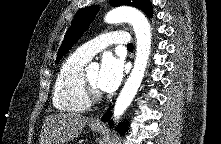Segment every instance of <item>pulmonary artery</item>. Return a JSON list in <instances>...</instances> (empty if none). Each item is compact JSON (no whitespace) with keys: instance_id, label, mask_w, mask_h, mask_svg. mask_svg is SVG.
Listing matches in <instances>:
<instances>
[{"instance_id":"1","label":"pulmonary artery","mask_w":221,"mask_h":144,"mask_svg":"<svg viewBox=\"0 0 221 144\" xmlns=\"http://www.w3.org/2000/svg\"><path fill=\"white\" fill-rule=\"evenodd\" d=\"M130 42V36L125 31H111L88 41L76 50V54L89 61L96 53L111 44L125 45Z\"/></svg>"}]
</instances>
